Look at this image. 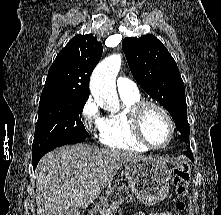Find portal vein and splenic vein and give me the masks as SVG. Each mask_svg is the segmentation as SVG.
Returning a JSON list of instances; mask_svg holds the SVG:
<instances>
[{
  "label": "portal vein and splenic vein",
  "mask_w": 221,
  "mask_h": 215,
  "mask_svg": "<svg viewBox=\"0 0 221 215\" xmlns=\"http://www.w3.org/2000/svg\"><path fill=\"white\" fill-rule=\"evenodd\" d=\"M121 200V199H120ZM109 210V209H108ZM107 209H100L99 212L101 215H107Z\"/></svg>",
  "instance_id": "18ae733b"
}]
</instances>
